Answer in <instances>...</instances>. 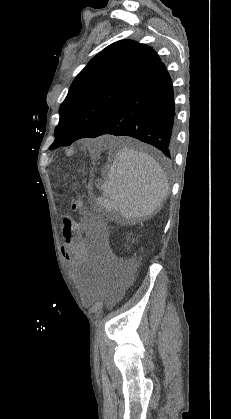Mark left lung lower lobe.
<instances>
[{"instance_id":"0a47b994","label":"left lung lower lobe","mask_w":231,"mask_h":419,"mask_svg":"<svg viewBox=\"0 0 231 419\" xmlns=\"http://www.w3.org/2000/svg\"><path fill=\"white\" fill-rule=\"evenodd\" d=\"M172 81L160 63L91 134L131 136L150 144L171 159L175 143Z\"/></svg>"}]
</instances>
